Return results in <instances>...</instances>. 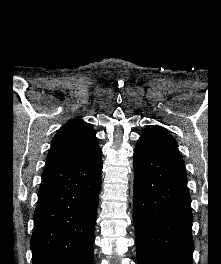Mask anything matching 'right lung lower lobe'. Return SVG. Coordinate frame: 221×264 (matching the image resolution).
<instances>
[{
  "label": "right lung lower lobe",
  "mask_w": 221,
  "mask_h": 264,
  "mask_svg": "<svg viewBox=\"0 0 221 264\" xmlns=\"http://www.w3.org/2000/svg\"><path fill=\"white\" fill-rule=\"evenodd\" d=\"M102 153L45 168L34 212L33 264H92Z\"/></svg>",
  "instance_id": "obj_1"
}]
</instances>
